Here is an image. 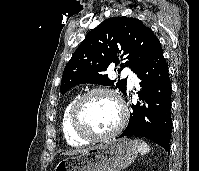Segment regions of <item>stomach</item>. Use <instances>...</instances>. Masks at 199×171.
<instances>
[{"label":"stomach","mask_w":199,"mask_h":171,"mask_svg":"<svg viewBox=\"0 0 199 171\" xmlns=\"http://www.w3.org/2000/svg\"><path fill=\"white\" fill-rule=\"evenodd\" d=\"M137 154L134 141L114 138L79 156L61 160L54 171H121L135 160Z\"/></svg>","instance_id":"stomach-1"}]
</instances>
